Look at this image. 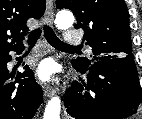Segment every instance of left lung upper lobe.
<instances>
[{"mask_svg":"<svg viewBox=\"0 0 142 119\" xmlns=\"http://www.w3.org/2000/svg\"><path fill=\"white\" fill-rule=\"evenodd\" d=\"M58 9L73 11L75 28L85 31L84 40L94 53V59L78 58L72 64L86 70L94 61L132 54L129 16L124 0H56Z\"/></svg>","mask_w":142,"mask_h":119,"instance_id":"obj_1","label":"left lung upper lobe"}]
</instances>
